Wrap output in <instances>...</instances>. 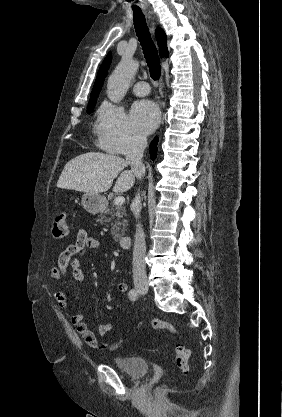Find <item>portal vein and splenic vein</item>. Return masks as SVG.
Here are the masks:
<instances>
[{"label":"portal vein and splenic vein","instance_id":"1","mask_svg":"<svg viewBox=\"0 0 282 417\" xmlns=\"http://www.w3.org/2000/svg\"><path fill=\"white\" fill-rule=\"evenodd\" d=\"M115 200V204H123L125 198L124 196H116V198H114Z\"/></svg>","mask_w":282,"mask_h":417}]
</instances>
